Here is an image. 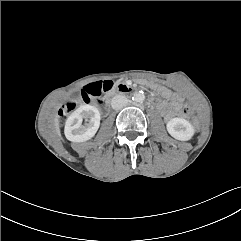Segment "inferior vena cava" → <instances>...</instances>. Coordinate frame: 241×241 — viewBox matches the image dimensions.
I'll use <instances>...</instances> for the list:
<instances>
[{
    "label": "inferior vena cava",
    "instance_id": "1",
    "mask_svg": "<svg viewBox=\"0 0 241 241\" xmlns=\"http://www.w3.org/2000/svg\"><path fill=\"white\" fill-rule=\"evenodd\" d=\"M128 103V99L123 95H116L112 98L111 106L115 110L122 109Z\"/></svg>",
    "mask_w": 241,
    "mask_h": 241
}]
</instances>
